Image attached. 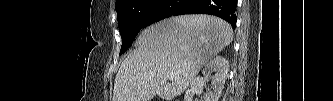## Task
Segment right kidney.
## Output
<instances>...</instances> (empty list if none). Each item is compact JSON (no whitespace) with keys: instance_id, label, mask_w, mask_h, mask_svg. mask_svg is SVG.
I'll list each match as a JSON object with an SVG mask.
<instances>
[{"instance_id":"obj_1","label":"right kidney","mask_w":333,"mask_h":101,"mask_svg":"<svg viewBox=\"0 0 333 101\" xmlns=\"http://www.w3.org/2000/svg\"><path fill=\"white\" fill-rule=\"evenodd\" d=\"M215 72L213 75L212 73ZM229 62L222 56L210 60L202 70L203 77H196L191 82V89L185 93L184 101H193L194 96L201 93L203 86L211 81V90L205 94L204 101H218L225 81L228 77Z\"/></svg>"}]
</instances>
